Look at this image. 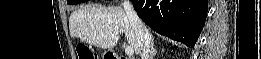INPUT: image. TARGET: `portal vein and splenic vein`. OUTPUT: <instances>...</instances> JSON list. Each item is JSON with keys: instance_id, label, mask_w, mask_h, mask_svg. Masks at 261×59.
Segmentation results:
<instances>
[{"instance_id": "18ae733b", "label": "portal vein and splenic vein", "mask_w": 261, "mask_h": 59, "mask_svg": "<svg viewBox=\"0 0 261 59\" xmlns=\"http://www.w3.org/2000/svg\"><path fill=\"white\" fill-rule=\"evenodd\" d=\"M125 53L128 55V56H132L134 54V50L131 46H127L125 48Z\"/></svg>"}]
</instances>
